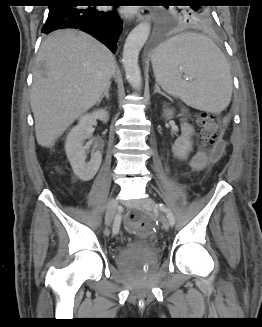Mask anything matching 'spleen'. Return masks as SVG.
<instances>
[{
    "mask_svg": "<svg viewBox=\"0 0 262 327\" xmlns=\"http://www.w3.org/2000/svg\"><path fill=\"white\" fill-rule=\"evenodd\" d=\"M151 61L157 83L188 106L219 114L229 105L230 67L210 38L197 33L176 35L158 46Z\"/></svg>",
    "mask_w": 262,
    "mask_h": 327,
    "instance_id": "obj_1",
    "label": "spleen"
}]
</instances>
